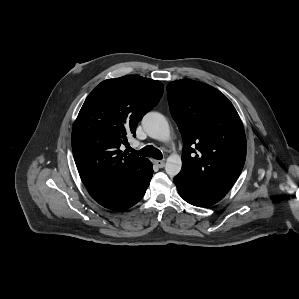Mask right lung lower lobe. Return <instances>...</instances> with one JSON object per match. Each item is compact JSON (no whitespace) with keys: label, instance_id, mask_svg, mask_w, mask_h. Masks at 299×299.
Wrapping results in <instances>:
<instances>
[{"label":"right lung lower lobe","instance_id":"obj_1","mask_svg":"<svg viewBox=\"0 0 299 299\" xmlns=\"http://www.w3.org/2000/svg\"><path fill=\"white\" fill-rule=\"evenodd\" d=\"M152 175L153 168L149 161L142 177L136 174L113 186L87 189L91 197L103 207L122 211L141 200L149 186Z\"/></svg>","mask_w":299,"mask_h":299}]
</instances>
